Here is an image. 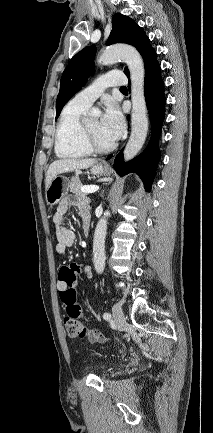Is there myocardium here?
Instances as JSON below:
<instances>
[{
    "instance_id": "f54148a6",
    "label": "myocardium",
    "mask_w": 213,
    "mask_h": 433,
    "mask_svg": "<svg viewBox=\"0 0 213 433\" xmlns=\"http://www.w3.org/2000/svg\"><path fill=\"white\" fill-rule=\"evenodd\" d=\"M82 138L83 141L85 143V145L87 146V148L91 151V152H95V153H107L112 151L115 147L116 144L112 143L110 145L107 146H102L100 144H98L94 138L92 137V135L90 134V132L88 131L86 125L82 126Z\"/></svg>"
}]
</instances>
